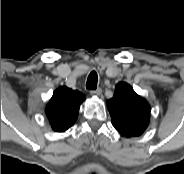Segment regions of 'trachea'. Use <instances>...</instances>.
<instances>
[{"label":"trachea","instance_id":"trachea-1","mask_svg":"<svg viewBox=\"0 0 184 174\" xmlns=\"http://www.w3.org/2000/svg\"><path fill=\"white\" fill-rule=\"evenodd\" d=\"M97 81H98L97 73L95 71H92L87 78L86 88L95 90L97 88Z\"/></svg>","mask_w":184,"mask_h":174}]
</instances>
